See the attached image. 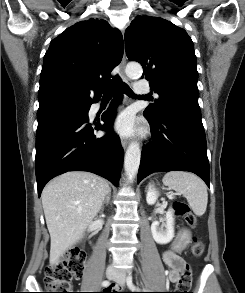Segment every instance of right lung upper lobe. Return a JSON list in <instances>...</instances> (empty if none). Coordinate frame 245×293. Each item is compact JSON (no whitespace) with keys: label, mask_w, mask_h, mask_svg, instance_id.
<instances>
[{"label":"right lung upper lobe","mask_w":245,"mask_h":293,"mask_svg":"<svg viewBox=\"0 0 245 293\" xmlns=\"http://www.w3.org/2000/svg\"><path fill=\"white\" fill-rule=\"evenodd\" d=\"M123 55V38L103 19L81 21L50 43L40 76L39 108L91 105L113 80Z\"/></svg>","instance_id":"cb5924a9"}]
</instances>
